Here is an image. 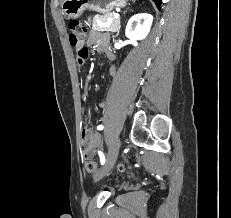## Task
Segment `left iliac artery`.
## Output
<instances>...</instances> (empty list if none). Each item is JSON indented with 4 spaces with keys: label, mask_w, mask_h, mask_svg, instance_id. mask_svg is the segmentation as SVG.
Listing matches in <instances>:
<instances>
[{
    "label": "left iliac artery",
    "mask_w": 231,
    "mask_h": 218,
    "mask_svg": "<svg viewBox=\"0 0 231 218\" xmlns=\"http://www.w3.org/2000/svg\"><path fill=\"white\" fill-rule=\"evenodd\" d=\"M103 128H104L103 125H99L97 127L98 130H103ZM98 153H99V156H100L101 164L103 165L105 163V156H104V154L101 151H98Z\"/></svg>",
    "instance_id": "obj_1"
}]
</instances>
